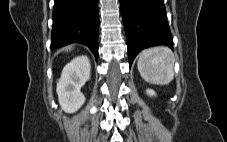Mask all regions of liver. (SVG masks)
Masks as SVG:
<instances>
[{
	"label": "liver",
	"instance_id": "6515ba94",
	"mask_svg": "<svg viewBox=\"0 0 227 142\" xmlns=\"http://www.w3.org/2000/svg\"><path fill=\"white\" fill-rule=\"evenodd\" d=\"M73 49V46H68V47H66V48H64L63 50H65V51H71Z\"/></svg>",
	"mask_w": 227,
	"mask_h": 142
}]
</instances>
